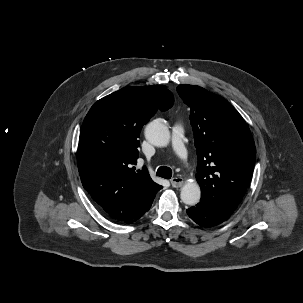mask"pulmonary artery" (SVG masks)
Listing matches in <instances>:
<instances>
[{
    "label": "pulmonary artery",
    "mask_w": 303,
    "mask_h": 303,
    "mask_svg": "<svg viewBox=\"0 0 303 303\" xmlns=\"http://www.w3.org/2000/svg\"><path fill=\"white\" fill-rule=\"evenodd\" d=\"M172 149L181 159L187 157V151L184 144V128L180 123H176L172 127Z\"/></svg>",
    "instance_id": "pulmonary-artery-1"
}]
</instances>
